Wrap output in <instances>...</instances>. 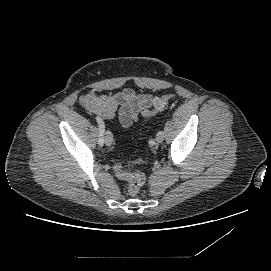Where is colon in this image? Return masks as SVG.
Listing matches in <instances>:
<instances>
[{"instance_id": "5ec220e1", "label": "colon", "mask_w": 271, "mask_h": 271, "mask_svg": "<svg viewBox=\"0 0 271 271\" xmlns=\"http://www.w3.org/2000/svg\"><path fill=\"white\" fill-rule=\"evenodd\" d=\"M175 99V95L172 93L165 94L162 97L155 98L153 100L152 108L147 110L144 114V118H149L157 112L164 110L167 105ZM142 160H138L136 163H141ZM114 172L116 176L127 182L128 193L131 196H136L142 186L145 183V176L143 173L138 171H128L126 170V165L122 163H117L114 166Z\"/></svg>"}]
</instances>
